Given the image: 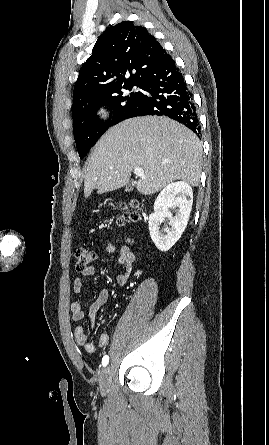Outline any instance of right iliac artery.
<instances>
[{
	"mask_svg": "<svg viewBox=\"0 0 269 445\" xmlns=\"http://www.w3.org/2000/svg\"><path fill=\"white\" fill-rule=\"evenodd\" d=\"M108 362H109V356L105 355L102 358V365L105 367V366H107Z\"/></svg>",
	"mask_w": 269,
	"mask_h": 445,
	"instance_id": "82829eb1",
	"label": "right iliac artery"
}]
</instances>
